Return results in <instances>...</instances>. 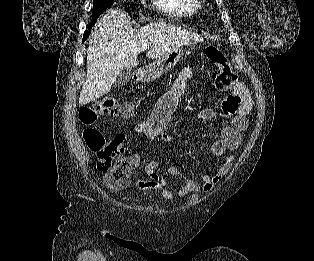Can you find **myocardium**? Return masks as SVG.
<instances>
[{"label": "myocardium", "mask_w": 314, "mask_h": 261, "mask_svg": "<svg viewBox=\"0 0 314 261\" xmlns=\"http://www.w3.org/2000/svg\"><path fill=\"white\" fill-rule=\"evenodd\" d=\"M193 1H194V3H195V7H196L197 9L201 8V6H202L201 0H193Z\"/></svg>", "instance_id": "myocardium-1"}]
</instances>
